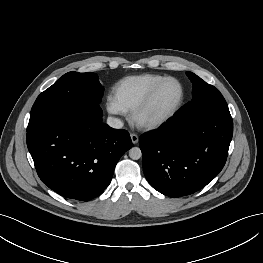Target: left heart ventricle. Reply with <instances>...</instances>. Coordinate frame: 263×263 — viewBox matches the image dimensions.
<instances>
[{
	"label": "left heart ventricle",
	"instance_id": "1",
	"mask_svg": "<svg viewBox=\"0 0 263 263\" xmlns=\"http://www.w3.org/2000/svg\"><path fill=\"white\" fill-rule=\"evenodd\" d=\"M182 90L178 82L168 80L156 93L150 107L142 115V118L152 119L170 112L179 102Z\"/></svg>",
	"mask_w": 263,
	"mask_h": 263
}]
</instances>
